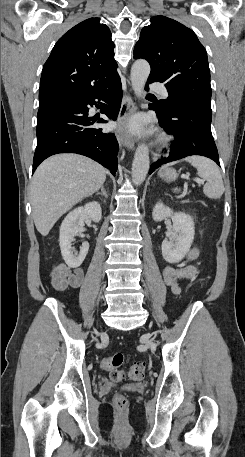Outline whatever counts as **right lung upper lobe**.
<instances>
[{
  "label": "right lung upper lobe",
  "mask_w": 245,
  "mask_h": 457,
  "mask_svg": "<svg viewBox=\"0 0 245 457\" xmlns=\"http://www.w3.org/2000/svg\"><path fill=\"white\" fill-rule=\"evenodd\" d=\"M109 28L92 17L66 32L47 59L39 106L90 92L118 78Z\"/></svg>",
  "instance_id": "obj_1"
}]
</instances>
